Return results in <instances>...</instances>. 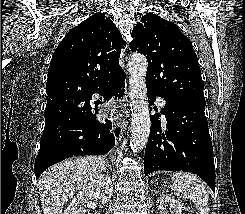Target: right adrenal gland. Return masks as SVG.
<instances>
[{"label":"right adrenal gland","mask_w":245,"mask_h":214,"mask_svg":"<svg viewBox=\"0 0 245 214\" xmlns=\"http://www.w3.org/2000/svg\"><path fill=\"white\" fill-rule=\"evenodd\" d=\"M106 167L111 168V166L109 165V163H108V162L106 163ZM105 171H106V169H105Z\"/></svg>","instance_id":"right-adrenal-gland-1"}]
</instances>
